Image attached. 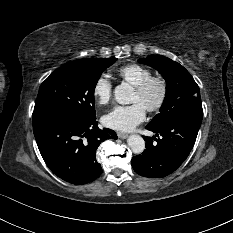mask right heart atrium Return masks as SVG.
<instances>
[{"instance_id": "right-heart-atrium-1", "label": "right heart atrium", "mask_w": 233, "mask_h": 233, "mask_svg": "<svg viewBox=\"0 0 233 233\" xmlns=\"http://www.w3.org/2000/svg\"><path fill=\"white\" fill-rule=\"evenodd\" d=\"M113 84L106 75L99 76L94 82L92 93L100 105L107 104L112 96Z\"/></svg>"}]
</instances>
